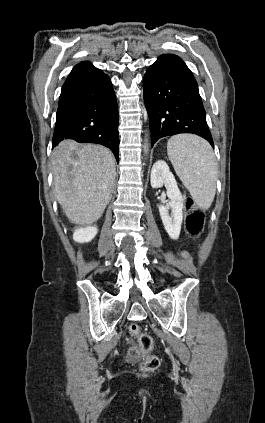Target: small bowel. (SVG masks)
<instances>
[{
	"label": "small bowel",
	"mask_w": 265,
	"mask_h": 423,
	"mask_svg": "<svg viewBox=\"0 0 265 423\" xmlns=\"http://www.w3.org/2000/svg\"><path fill=\"white\" fill-rule=\"evenodd\" d=\"M182 255H183V256H185V257H188V256H189V253H188V252H186V251H183V252H182Z\"/></svg>",
	"instance_id": "1"
}]
</instances>
